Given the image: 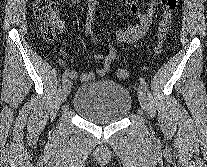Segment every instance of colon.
Returning a JSON list of instances; mask_svg holds the SVG:
<instances>
[{
    "instance_id": "5ec220e1",
    "label": "colon",
    "mask_w": 207,
    "mask_h": 167,
    "mask_svg": "<svg viewBox=\"0 0 207 167\" xmlns=\"http://www.w3.org/2000/svg\"><path fill=\"white\" fill-rule=\"evenodd\" d=\"M56 0H35L34 14L36 20L41 26V34L45 41L53 42L57 37L58 18L56 14ZM162 9V18L158 24V44L155 53H160L166 35L171 27L172 17L178 5V0H160ZM118 79L126 80L129 72L125 69H119L116 73Z\"/></svg>"
}]
</instances>
